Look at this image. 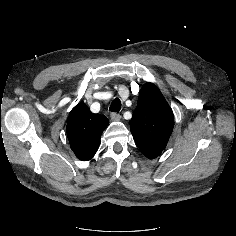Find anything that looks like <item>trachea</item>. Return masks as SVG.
Masks as SVG:
<instances>
[{"label": "trachea", "instance_id": "3493384b", "mask_svg": "<svg viewBox=\"0 0 236 236\" xmlns=\"http://www.w3.org/2000/svg\"><path fill=\"white\" fill-rule=\"evenodd\" d=\"M120 109H121V101H120L119 98H115L112 101L109 110L112 111V112H119Z\"/></svg>", "mask_w": 236, "mask_h": 236}]
</instances>
